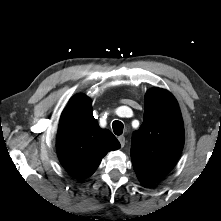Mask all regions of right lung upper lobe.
<instances>
[{
	"instance_id": "right-lung-upper-lobe-1",
	"label": "right lung upper lobe",
	"mask_w": 221,
	"mask_h": 221,
	"mask_svg": "<svg viewBox=\"0 0 221 221\" xmlns=\"http://www.w3.org/2000/svg\"><path fill=\"white\" fill-rule=\"evenodd\" d=\"M56 146L62 166L79 179L92 175L108 151L121 147L111 131L99 127L84 94L75 95L63 111Z\"/></svg>"
}]
</instances>
